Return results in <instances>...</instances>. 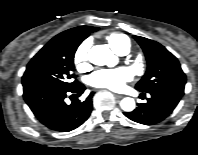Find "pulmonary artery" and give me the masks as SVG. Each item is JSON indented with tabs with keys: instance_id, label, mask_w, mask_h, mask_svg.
<instances>
[{
	"instance_id": "pulmonary-artery-1",
	"label": "pulmonary artery",
	"mask_w": 198,
	"mask_h": 155,
	"mask_svg": "<svg viewBox=\"0 0 198 155\" xmlns=\"http://www.w3.org/2000/svg\"><path fill=\"white\" fill-rule=\"evenodd\" d=\"M127 52H128V51H125V52L121 53V55H125Z\"/></svg>"
}]
</instances>
